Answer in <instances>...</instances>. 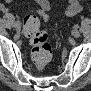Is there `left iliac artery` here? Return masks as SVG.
I'll return each instance as SVG.
<instances>
[{
    "instance_id": "obj_1",
    "label": "left iliac artery",
    "mask_w": 91,
    "mask_h": 91,
    "mask_svg": "<svg viewBox=\"0 0 91 91\" xmlns=\"http://www.w3.org/2000/svg\"><path fill=\"white\" fill-rule=\"evenodd\" d=\"M79 28V25L78 24H75L74 26H73V29L74 30H77Z\"/></svg>"
}]
</instances>
